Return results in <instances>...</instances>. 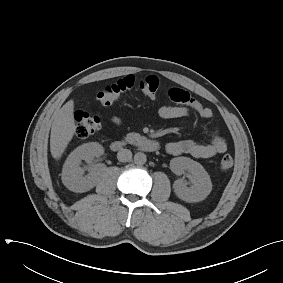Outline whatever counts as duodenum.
<instances>
[{"label": "duodenum", "instance_id": "obj_1", "mask_svg": "<svg viewBox=\"0 0 283 283\" xmlns=\"http://www.w3.org/2000/svg\"><path fill=\"white\" fill-rule=\"evenodd\" d=\"M134 146L147 152H156L159 150V143L147 137H138L133 142ZM126 143L122 140H115L110 144V148L114 152L122 150Z\"/></svg>", "mask_w": 283, "mask_h": 283}]
</instances>
